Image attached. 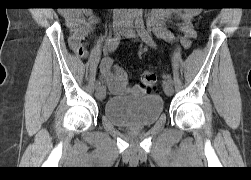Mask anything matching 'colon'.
Listing matches in <instances>:
<instances>
[{
	"label": "colon",
	"instance_id": "5ec220e1",
	"mask_svg": "<svg viewBox=\"0 0 251 180\" xmlns=\"http://www.w3.org/2000/svg\"><path fill=\"white\" fill-rule=\"evenodd\" d=\"M156 82L155 74L150 71H145L140 77V88L144 92L150 93L155 89Z\"/></svg>",
	"mask_w": 251,
	"mask_h": 180
}]
</instances>
